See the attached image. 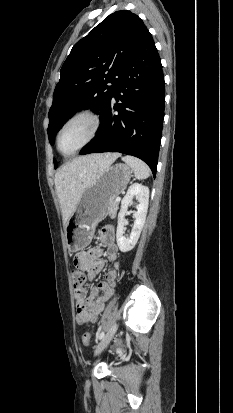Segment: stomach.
Returning a JSON list of instances; mask_svg holds the SVG:
<instances>
[{
  "label": "stomach",
  "instance_id": "obj_1",
  "mask_svg": "<svg viewBox=\"0 0 233 413\" xmlns=\"http://www.w3.org/2000/svg\"><path fill=\"white\" fill-rule=\"evenodd\" d=\"M132 170L118 163L102 170L84 190L74 212L65 225L68 250L77 252L87 247L97 224L108 214V206L130 181Z\"/></svg>",
  "mask_w": 233,
  "mask_h": 413
}]
</instances>
